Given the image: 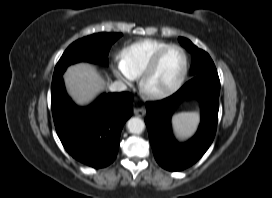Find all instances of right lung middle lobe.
I'll list each match as a JSON object with an SVG mask.
<instances>
[{"instance_id": "obj_1", "label": "right lung middle lobe", "mask_w": 272, "mask_h": 198, "mask_svg": "<svg viewBox=\"0 0 272 198\" xmlns=\"http://www.w3.org/2000/svg\"><path fill=\"white\" fill-rule=\"evenodd\" d=\"M121 36L122 33H98L75 41L58 61L53 78L62 76L67 66L80 61L108 65L110 47Z\"/></svg>"}]
</instances>
